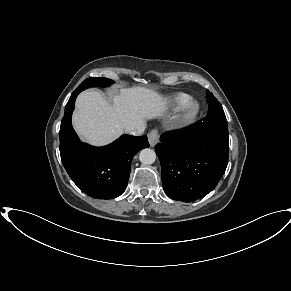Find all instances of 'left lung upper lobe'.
I'll return each instance as SVG.
<instances>
[{"label": "left lung upper lobe", "mask_w": 291, "mask_h": 291, "mask_svg": "<svg viewBox=\"0 0 291 291\" xmlns=\"http://www.w3.org/2000/svg\"><path fill=\"white\" fill-rule=\"evenodd\" d=\"M206 99L209 106L207 114L208 116L225 115L221 104L211 92L207 91Z\"/></svg>", "instance_id": "5c2ea615"}]
</instances>
